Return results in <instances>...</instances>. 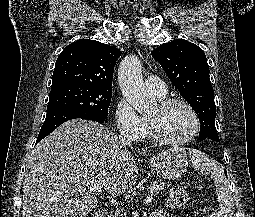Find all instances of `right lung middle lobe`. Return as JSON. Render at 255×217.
Wrapping results in <instances>:
<instances>
[{"mask_svg":"<svg viewBox=\"0 0 255 217\" xmlns=\"http://www.w3.org/2000/svg\"><path fill=\"white\" fill-rule=\"evenodd\" d=\"M112 89L66 84L51 87L47 111L64 108L86 112L105 120L111 103Z\"/></svg>","mask_w":255,"mask_h":217,"instance_id":"1","label":"right lung middle lobe"}]
</instances>
